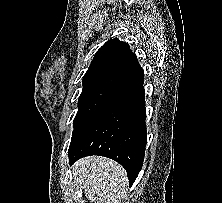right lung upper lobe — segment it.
I'll return each instance as SVG.
<instances>
[{
    "instance_id": "right-lung-upper-lobe-1",
    "label": "right lung upper lobe",
    "mask_w": 222,
    "mask_h": 203,
    "mask_svg": "<svg viewBox=\"0 0 222 203\" xmlns=\"http://www.w3.org/2000/svg\"><path fill=\"white\" fill-rule=\"evenodd\" d=\"M143 69L129 45L117 38L106 42L95 54L83 77V90L116 93Z\"/></svg>"
}]
</instances>
